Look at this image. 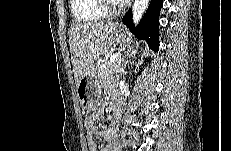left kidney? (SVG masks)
<instances>
[{
	"label": "left kidney",
	"instance_id": "1",
	"mask_svg": "<svg viewBox=\"0 0 231 151\" xmlns=\"http://www.w3.org/2000/svg\"><path fill=\"white\" fill-rule=\"evenodd\" d=\"M142 61H143V59H141V61H139V63L136 66L138 67L140 64H142ZM135 73H136V71H135Z\"/></svg>",
	"mask_w": 231,
	"mask_h": 151
}]
</instances>
